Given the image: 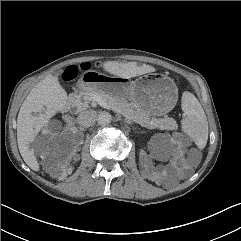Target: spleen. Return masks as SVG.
I'll return each instance as SVG.
<instances>
[{
  "label": "spleen",
  "instance_id": "1",
  "mask_svg": "<svg viewBox=\"0 0 241 241\" xmlns=\"http://www.w3.org/2000/svg\"><path fill=\"white\" fill-rule=\"evenodd\" d=\"M181 107L185 114L182 131L203 149L208 140V122L201 104L192 93L184 92Z\"/></svg>",
  "mask_w": 241,
  "mask_h": 241
}]
</instances>
